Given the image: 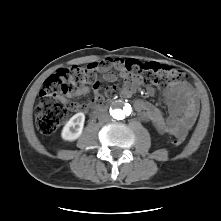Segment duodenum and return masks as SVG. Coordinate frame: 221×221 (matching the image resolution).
Masks as SVG:
<instances>
[{"mask_svg":"<svg viewBox=\"0 0 221 221\" xmlns=\"http://www.w3.org/2000/svg\"><path fill=\"white\" fill-rule=\"evenodd\" d=\"M107 106H108L107 103H104V102H103V103H100V104L98 105L97 110L99 111V110L105 109Z\"/></svg>","mask_w":221,"mask_h":221,"instance_id":"obj_1","label":"duodenum"}]
</instances>
